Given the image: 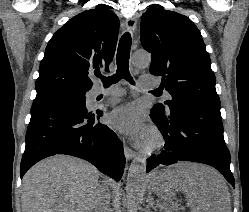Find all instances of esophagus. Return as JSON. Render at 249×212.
I'll return each mask as SVG.
<instances>
[{
  "mask_svg": "<svg viewBox=\"0 0 249 212\" xmlns=\"http://www.w3.org/2000/svg\"><path fill=\"white\" fill-rule=\"evenodd\" d=\"M125 25H126L127 31L131 35H134L136 32V27H137V19L135 17H129L126 19ZM124 152H125V157L127 160H131L135 156V152L127 145L124 146Z\"/></svg>",
  "mask_w": 249,
  "mask_h": 212,
  "instance_id": "34e87169",
  "label": "esophagus"
}]
</instances>
